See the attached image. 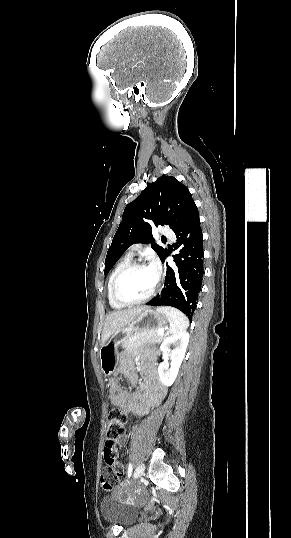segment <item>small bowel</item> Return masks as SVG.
<instances>
[{"label": "small bowel", "instance_id": "c3829d8e", "mask_svg": "<svg viewBox=\"0 0 291 538\" xmlns=\"http://www.w3.org/2000/svg\"><path fill=\"white\" fill-rule=\"evenodd\" d=\"M119 371L128 379L130 384L137 383V376L133 363L127 354L122 355ZM145 377L144 385L135 393L126 392L118 383L116 377L108 381L109 401L112 406L118 407L124 414L142 415L148 411V407L160 396V380L153 365L143 368ZM116 376V373H113ZM120 446L126 445L127 439L122 434L117 440Z\"/></svg>", "mask_w": 291, "mask_h": 538}]
</instances>
